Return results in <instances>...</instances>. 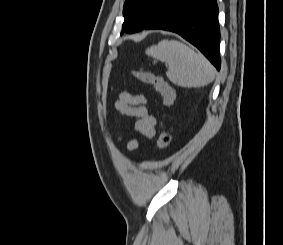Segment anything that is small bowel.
<instances>
[{"label":"small bowel","instance_id":"obj_1","mask_svg":"<svg viewBox=\"0 0 283 245\" xmlns=\"http://www.w3.org/2000/svg\"><path fill=\"white\" fill-rule=\"evenodd\" d=\"M114 106L121 114L137 119L134 125L137 134L148 140L154 138L157 121L154 114L149 110L147 99L143 95L123 92L119 95ZM121 139L120 137L119 141ZM138 145V138H133L127 143L126 148L129 152H132L138 148Z\"/></svg>","mask_w":283,"mask_h":245}]
</instances>
